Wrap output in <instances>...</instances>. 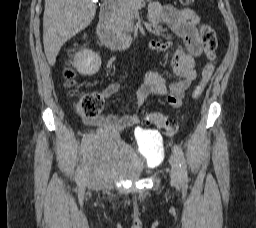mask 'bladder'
Masks as SVG:
<instances>
[{"label":"bladder","mask_w":256,"mask_h":228,"mask_svg":"<svg viewBox=\"0 0 256 228\" xmlns=\"http://www.w3.org/2000/svg\"><path fill=\"white\" fill-rule=\"evenodd\" d=\"M144 152L122 141L117 135L100 132L89 135L86 156L92 168L109 176L136 179L158 165L163 154V142L156 135H141Z\"/></svg>","instance_id":"1"}]
</instances>
